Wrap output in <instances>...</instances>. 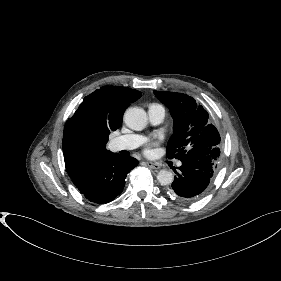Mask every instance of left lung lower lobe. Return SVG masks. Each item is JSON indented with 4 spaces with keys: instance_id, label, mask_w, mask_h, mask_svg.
Returning a JSON list of instances; mask_svg holds the SVG:
<instances>
[{
    "instance_id": "0a47b994",
    "label": "left lung lower lobe",
    "mask_w": 281,
    "mask_h": 281,
    "mask_svg": "<svg viewBox=\"0 0 281 281\" xmlns=\"http://www.w3.org/2000/svg\"><path fill=\"white\" fill-rule=\"evenodd\" d=\"M220 149L216 147H193L184 158L182 165L175 171L172 192L184 202L200 198L207 190L214 176Z\"/></svg>"
}]
</instances>
